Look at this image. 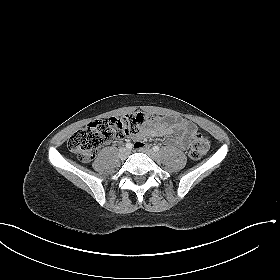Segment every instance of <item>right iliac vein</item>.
<instances>
[{"mask_svg": "<svg viewBox=\"0 0 280 280\" xmlns=\"http://www.w3.org/2000/svg\"><path fill=\"white\" fill-rule=\"evenodd\" d=\"M129 154H130V151L127 148H121L119 150V157L122 160H125L129 156Z\"/></svg>", "mask_w": 280, "mask_h": 280, "instance_id": "63e3f726", "label": "right iliac vein"}]
</instances>
